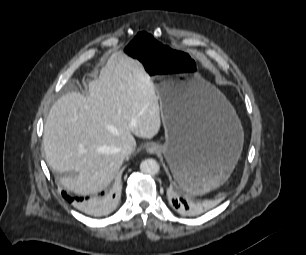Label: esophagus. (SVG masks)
Masks as SVG:
<instances>
[{
    "label": "esophagus",
    "instance_id": "34e87169",
    "mask_svg": "<svg viewBox=\"0 0 306 255\" xmlns=\"http://www.w3.org/2000/svg\"><path fill=\"white\" fill-rule=\"evenodd\" d=\"M146 151L149 154H156L159 151V146L155 143H150L147 147H146Z\"/></svg>",
    "mask_w": 306,
    "mask_h": 255
}]
</instances>
